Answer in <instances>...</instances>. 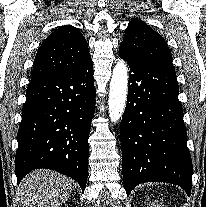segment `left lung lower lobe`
<instances>
[{
    "mask_svg": "<svg viewBox=\"0 0 206 207\" xmlns=\"http://www.w3.org/2000/svg\"><path fill=\"white\" fill-rule=\"evenodd\" d=\"M129 65V87L120 125L123 182L127 195L138 184L167 182L192 186L183 109L173 70L119 51Z\"/></svg>",
    "mask_w": 206,
    "mask_h": 207,
    "instance_id": "0a47b994",
    "label": "left lung lower lobe"
}]
</instances>
